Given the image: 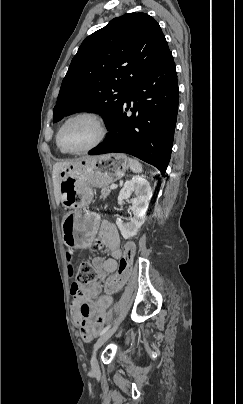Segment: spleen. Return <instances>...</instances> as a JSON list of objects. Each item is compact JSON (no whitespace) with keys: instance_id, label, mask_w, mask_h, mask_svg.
Instances as JSON below:
<instances>
[{"instance_id":"obj_1","label":"spleen","mask_w":243,"mask_h":404,"mask_svg":"<svg viewBox=\"0 0 243 404\" xmlns=\"http://www.w3.org/2000/svg\"><path fill=\"white\" fill-rule=\"evenodd\" d=\"M128 166L134 174H141L142 166L138 160H132V158H128Z\"/></svg>"}]
</instances>
